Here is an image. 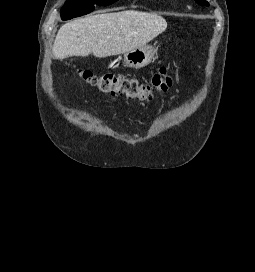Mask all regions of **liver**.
Instances as JSON below:
<instances>
[{"label": "liver", "mask_w": 255, "mask_h": 272, "mask_svg": "<svg viewBox=\"0 0 255 272\" xmlns=\"http://www.w3.org/2000/svg\"><path fill=\"white\" fill-rule=\"evenodd\" d=\"M166 28V20L155 13L126 10L88 15L59 29L53 54L56 59L119 55L146 45Z\"/></svg>", "instance_id": "1"}]
</instances>
